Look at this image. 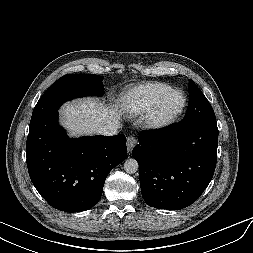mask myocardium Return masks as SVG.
Masks as SVG:
<instances>
[{
	"label": "myocardium",
	"instance_id": "obj_1",
	"mask_svg": "<svg viewBox=\"0 0 253 253\" xmlns=\"http://www.w3.org/2000/svg\"><path fill=\"white\" fill-rule=\"evenodd\" d=\"M179 93L182 97V103L180 108L171 115L162 116L160 113V109L164 101L172 94ZM187 106V97L185 93L176 88H171L170 90L163 93L159 98L155 101L151 109L148 111L145 117V125L147 128L151 130H164L174 124L180 116L183 114Z\"/></svg>",
	"mask_w": 253,
	"mask_h": 253
}]
</instances>
